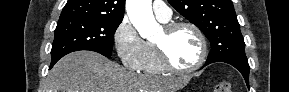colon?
Listing matches in <instances>:
<instances>
[{
    "label": "colon",
    "instance_id": "obj_1",
    "mask_svg": "<svg viewBox=\"0 0 289 92\" xmlns=\"http://www.w3.org/2000/svg\"><path fill=\"white\" fill-rule=\"evenodd\" d=\"M214 92H231V86L226 81H221L215 85Z\"/></svg>",
    "mask_w": 289,
    "mask_h": 92
}]
</instances>
